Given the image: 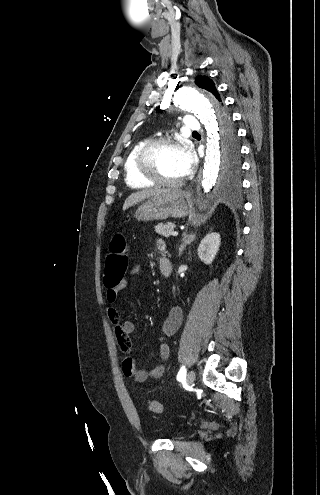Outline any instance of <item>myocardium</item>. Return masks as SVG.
<instances>
[{"instance_id": "myocardium-1", "label": "myocardium", "mask_w": 320, "mask_h": 495, "mask_svg": "<svg viewBox=\"0 0 320 495\" xmlns=\"http://www.w3.org/2000/svg\"><path fill=\"white\" fill-rule=\"evenodd\" d=\"M164 146H175L188 150V146L183 139L165 136L151 141H148L139 151L136 158V169L138 173L157 185L163 186H176L182 183L184 178L177 180H170L161 177L155 170L152 162L154 153Z\"/></svg>"}]
</instances>
